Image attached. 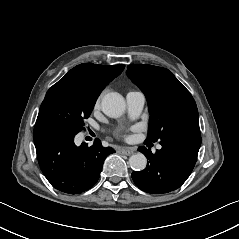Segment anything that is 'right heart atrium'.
I'll list each match as a JSON object with an SVG mask.
<instances>
[{"mask_svg":"<svg viewBox=\"0 0 239 239\" xmlns=\"http://www.w3.org/2000/svg\"><path fill=\"white\" fill-rule=\"evenodd\" d=\"M102 96H103V93H101V94L97 97L96 102H95V105H96V106L99 105V103H100V101H101V99H102Z\"/></svg>","mask_w":239,"mask_h":239,"instance_id":"obj_1","label":"right heart atrium"}]
</instances>
